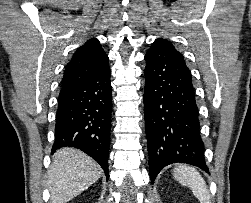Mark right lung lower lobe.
I'll return each instance as SVG.
<instances>
[{"label": "right lung lower lobe", "mask_w": 251, "mask_h": 203, "mask_svg": "<svg viewBox=\"0 0 251 203\" xmlns=\"http://www.w3.org/2000/svg\"><path fill=\"white\" fill-rule=\"evenodd\" d=\"M112 95L108 64L73 87L61 91L52 153L78 148L103 168L108 179Z\"/></svg>", "instance_id": "98d812e1"}]
</instances>
